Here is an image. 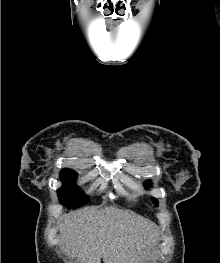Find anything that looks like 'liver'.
<instances>
[{"instance_id":"6515ba94","label":"liver","mask_w":220,"mask_h":263,"mask_svg":"<svg viewBox=\"0 0 220 263\" xmlns=\"http://www.w3.org/2000/svg\"><path fill=\"white\" fill-rule=\"evenodd\" d=\"M60 235L75 263H140L156 232L147 219L106 207L70 212Z\"/></svg>"}]
</instances>
